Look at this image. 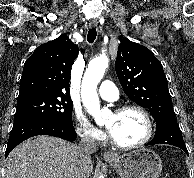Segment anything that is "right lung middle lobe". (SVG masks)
Segmentation results:
<instances>
[{
  "label": "right lung middle lobe",
  "mask_w": 194,
  "mask_h": 178,
  "mask_svg": "<svg viewBox=\"0 0 194 178\" xmlns=\"http://www.w3.org/2000/svg\"><path fill=\"white\" fill-rule=\"evenodd\" d=\"M73 103L69 96L34 97L17 101L14 121L41 118L55 123H72Z\"/></svg>",
  "instance_id": "right-lung-middle-lobe-1"
}]
</instances>
